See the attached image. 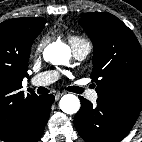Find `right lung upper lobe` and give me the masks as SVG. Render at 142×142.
Segmentation results:
<instances>
[{
	"instance_id": "cb5924a9",
	"label": "right lung upper lobe",
	"mask_w": 142,
	"mask_h": 142,
	"mask_svg": "<svg viewBox=\"0 0 142 142\" xmlns=\"http://www.w3.org/2000/svg\"><path fill=\"white\" fill-rule=\"evenodd\" d=\"M46 23L44 18H15L0 23V138L16 136L36 107L40 96L24 94L22 80L34 39Z\"/></svg>"
}]
</instances>
